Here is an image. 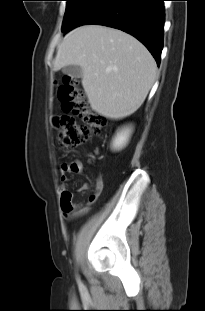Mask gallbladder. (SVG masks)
I'll return each instance as SVG.
<instances>
[{
    "label": "gallbladder",
    "mask_w": 205,
    "mask_h": 311,
    "mask_svg": "<svg viewBox=\"0 0 205 311\" xmlns=\"http://www.w3.org/2000/svg\"><path fill=\"white\" fill-rule=\"evenodd\" d=\"M62 72L71 77V78H81L82 77V68L79 65H69L65 66L62 69Z\"/></svg>",
    "instance_id": "bac80fb5"
}]
</instances>
